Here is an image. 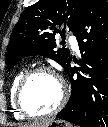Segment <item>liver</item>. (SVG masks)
<instances>
[{"instance_id": "liver-1", "label": "liver", "mask_w": 108, "mask_h": 127, "mask_svg": "<svg viewBox=\"0 0 108 127\" xmlns=\"http://www.w3.org/2000/svg\"><path fill=\"white\" fill-rule=\"evenodd\" d=\"M52 121L53 119H43L36 122L21 125L20 127H44L45 125L49 124Z\"/></svg>"}]
</instances>
